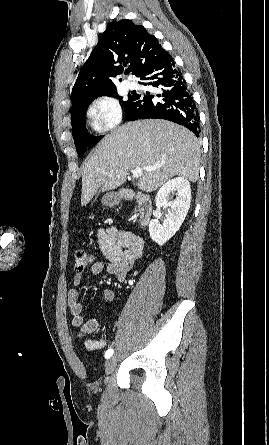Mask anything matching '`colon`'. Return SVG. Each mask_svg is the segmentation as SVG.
Instances as JSON below:
<instances>
[{
    "mask_svg": "<svg viewBox=\"0 0 269 445\" xmlns=\"http://www.w3.org/2000/svg\"><path fill=\"white\" fill-rule=\"evenodd\" d=\"M75 269L77 272H83L86 268L93 264L94 258L91 253L85 249H77L74 254Z\"/></svg>",
    "mask_w": 269,
    "mask_h": 445,
    "instance_id": "colon-1",
    "label": "colon"
}]
</instances>
